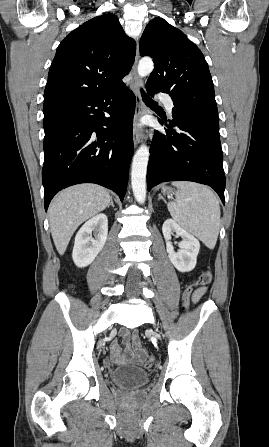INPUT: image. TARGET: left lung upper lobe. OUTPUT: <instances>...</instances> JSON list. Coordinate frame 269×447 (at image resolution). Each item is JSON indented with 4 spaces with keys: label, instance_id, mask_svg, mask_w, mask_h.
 Masks as SVG:
<instances>
[{
    "label": "left lung upper lobe",
    "instance_id": "5c2ea615",
    "mask_svg": "<svg viewBox=\"0 0 269 447\" xmlns=\"http://www.w3.org/2000/svg\"><path fill=\"white\" fill-rule=\"evenodd\" d=\"M139 49L141 56L148 55L155 63L146 88L168 93L174 103L172 114L219 128L208 64L182 31L162 18H154L144 30Z\"/></svg>",
    "mask_w": 269,
    "mask_h": 447
}]
</instances>
